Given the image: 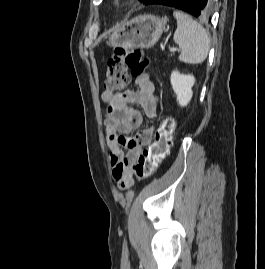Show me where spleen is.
<instances>
[{"instance_id":"1","label":"spleen","mask_w":265,"mask_h":269,"mask_svg":"<svg viewBox=\"0 0 265 269\" xmlns=\"http://www.w3.org/2000/svg\"><path fill=\"white\" fill-rule=\"evenodd\" d=\"M177 29L173 39L180 47L179 60L188 64L205 61L210 48V36L192 17L181 11H174Z\"/></svg>"}]
</instances>
